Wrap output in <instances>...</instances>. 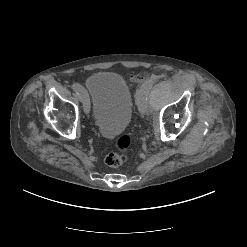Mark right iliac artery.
Returning <instances> with one entry per match:
<instances>
[{
  "label": "right iliac artery",
  "mask_w": 247,
  "mask_h": 247,
  "mask_svg": "<svg viewBox=\"0 0 247 247\" xmlns=\"http://www.w3.org/2000/svg\"><path fill=\"white\" fill-rule=\"evenodd\" d=\"M72 89L77 93V94H79V97L80 98H86L87 97V93L86 92H83L84 91V89H83V87L80 85V84H78V83H74L73 85H72ZM81 92H83V93H81Z\"/></svg>",
  "instance_id": "82829eb1"
}]
</instances>
